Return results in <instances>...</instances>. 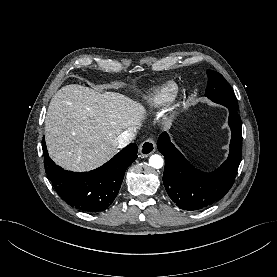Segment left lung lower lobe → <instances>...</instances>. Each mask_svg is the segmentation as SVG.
<instances>
[{"label":"left lung lower lobe","instance_id":"0a47b994","mask_svg":"<svg viewBox=\"0 0 277 277\" xmlns=\"http://www.w3.org/2000/svg\"><path fill=\"white\" fill-rule=\"evenodd\" d=\"M228 108V107H227ZM229 109L232 137L228 159L214 172L193 167L171 143L166 132L158 139V150L165 157L163 183L169 197L181 209L201 210L221 199L232 187L241 161L242 124L237 110Z\"/></svg>","mask_w":277,"mask_h":277}]
</instances>
